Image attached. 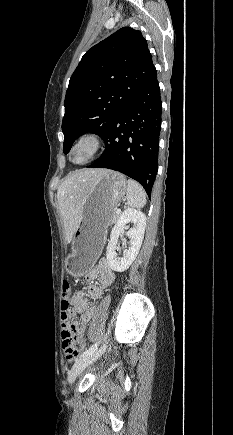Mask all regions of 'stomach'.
Returning <instances> with one entry per match:
<instances>
[{
    "label": "stomach",
    "instance_id": "0dacf381",
    "mask_svg": "<svg viewBox=\"0 0 233 435\" xmlns=\"http://www.w3.org/2000/svg\"><path fill=\"white\" fill-rule=\"evenodd\" d=\"M126 187L123 174L108 170L88 189L73 234L71 252L65 261L67 272L73 277H82L93 267Z\"/></svg>",
    "mask_w": 233,
    "mask_h": 435
}]
</instances>
